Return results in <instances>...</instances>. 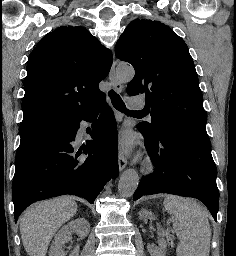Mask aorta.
Wrapping results in <instances>:
<instances>
[{"label": "aorta", "instance_id": "762f6f07", "mask_svg": "<svg viewBox=\"0 0 236 256\" xmlns=\"http://www.w3.org/2000/svg\"><path fill=\"white\" fill-rule=\"evenodd\" d=\"M116 74L120 82H130L135 74L132 66L127 64H120L116 69ZM139 184V176L136 170L127 169L125 170L118 183V191L122 197H131Z\"/></svg>", "mask_w": 236, "mask_h": 256}]
</instances>
